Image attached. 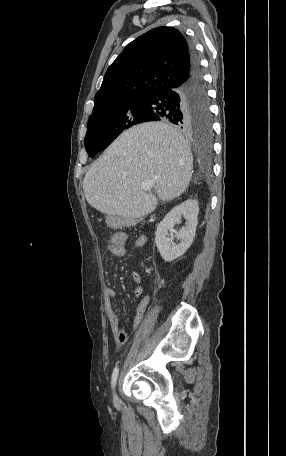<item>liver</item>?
Instances as JSON below:
<instances>
[{"label":"liver","mask_w":286,"mask_h":456,"mask_svg":"<svg viewBox=\"0 0 286 456\" xmlns=\"http://www.w3.org/2000/svg\"><path fill=\"white\" fill-rule=\"evenodd\" d=\"M193 156L170 124L148 122L124 131L83 179L87 202L98 211L135 220L153 212L158 199L142 189L152 181L158 198L173 200L188 187Z\"/></svg>","instance_id":"1"}]
</instances>
